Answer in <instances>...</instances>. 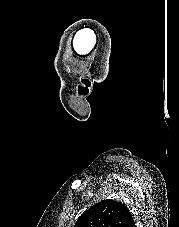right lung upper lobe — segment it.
I'll list each match as a JSON object with an SVG mask.
<instances>
[{
	"mask_svg": "<svg viewBox=\"0 0 179 227\" xmlns=\"http://www.w3.org/2000/svg\"><path fill=\"white\" fill-rule=\"evenodd\" d=\"M74 227H135V224L124 204L104 200L86 210Z\"/></svg>",
	"mask_w": 179,
	"mask_h": 227,
	"instance_id": "1",
	"label": "right lung upper lobe"
}]
</instances>
